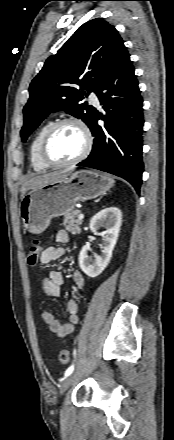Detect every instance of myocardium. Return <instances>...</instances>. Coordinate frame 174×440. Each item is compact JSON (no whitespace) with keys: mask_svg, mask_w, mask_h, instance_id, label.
<instances>
[{"mask_svg":"<svg viewBox=\"0 0 174 440\" xmlns=\"http://www.w3.org/2000/svg\"><path fill=\"white\" fill-rule=\"evenodd\" d=\"M64 124H75L81 129V131L84 135V146H83V149L80 152V154L77 157H75L74 159L69 160L67 162L57 163V162L51 160L50 157L48 156V145H49V142H50L53 134L55 133V131ZM92 146H93V136H92L91 130L88 127V125L82 119H80L78 117L69 116V117H65V118L57 120L49 127V129L45 133L43 140H42V143H41L40 156H41L42 161L46 165L53 167V168H63V167L75 165V164L81 162L82 160H84L89 155V153L92 149Z\"/></svg>","mask_w":174,"mask_h":440,"instance_id":"obj_1","label":"myocardium"}]
</instances>
